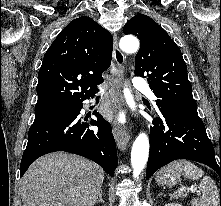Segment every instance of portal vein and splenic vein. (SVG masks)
Returning a JSON list of instances; mask_svg holds the SVG:
<instances>
[{"mask_svg":"<svg viewBox=\"0 0 221 206\" xmlns=\"http://www.w3.org/2000/svg\"><path fill=\"white\" fill-rule=\"evenodd\" d=\"M182 190H184V189H182ZM189 190L192 192L196 191L197 193H200V190H197V188H194V187L189 188Z\"/></svg>","mask_w":221,"mask_h":206,"instance_id":"portal-vein-and-splenic-vein-1","label":"portal vein and splenic vein"}]
</instances>
